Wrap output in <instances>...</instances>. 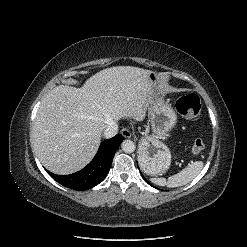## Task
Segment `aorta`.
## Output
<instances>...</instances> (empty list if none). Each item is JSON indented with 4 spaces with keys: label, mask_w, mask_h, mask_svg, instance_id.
I'll list each match as a JSON object with an SVG mask.
<instances>
[{
    "label": "aorta",
    "mask_w": 247,
    "mask_h": 247,
    "mask_svg": "<svg viewBox=\"0 0 247 247\" xmlns=\"http://www.w3.org/2000/svg\"><path fill=\"white\" fill-rule=\"evenodd\" d=\"M121 148L125 153H132L134 152L136 146L132 140H124L121 144Z\"/></svg>",
    "instance_id": "1"
}]
</instances>
